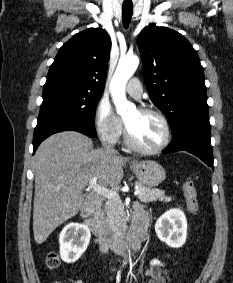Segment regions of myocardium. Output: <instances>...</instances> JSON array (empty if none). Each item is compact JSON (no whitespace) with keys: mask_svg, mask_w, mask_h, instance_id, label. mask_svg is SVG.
Instances as JSON below:
<instances>
[{"mask_svg":"<svg viewBox=\"0 0 233 283\" xmlns=\"http://www.w3.org/2000/svg\"><path fill=\"white\" fill-rule=\"evenodd\" d=\"M139 112L144 113V114H152L157 116L163 123L164 129H165V137L163 142L155 147V148H145L141 145H139L134 138L131 135V132L129 130V128L127 127L126 123H125V140L127 145L132 148L133 150L139 152V153H143V154H157L162 152L163 150H165L167 148V146L169 145L170 141H171V127H170V123L168 121V119L166 118V116L160 112L157 109L154 108H150V107H142L138 109Z\"/></svg>","mask_w":233,"mask_h":283,"instance_id":"1","label":"myocardium"}]
</instances>
